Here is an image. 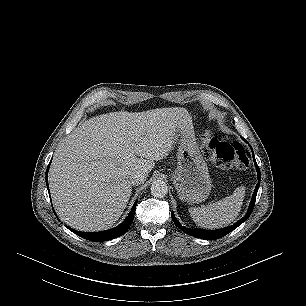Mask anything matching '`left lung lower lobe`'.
Here are the masks:
<instances>
[{
    "label": "left lung lower lobe",
    "instance_id": "1",
    "mask_svg": "<svg viewBox=\"0 0 306 306\" xmlns=\"http://www.w3.org/2000/svg\"><path fill=\"white\" fill-rule=\"evenodd\" d=\"M252 149V148H251ZM253 152V150H252ZM253 159H254V163L256 166V170H257V176H258V184L255 187L250 205H249V209L247 214L238 222H236L234 225L224 228V229H220V230H215V231H206V230H201V229H194V228H185L183 226L180 225V223L178 222V220L176 219L174 213H171V217L172 220L174 222V224L181 229L184 233L191 235L193 237H197V238H201V239H206V240H215L218 238H221L223 236H225L226 234L230 233L231 231H233L234 229H236L238 226H240L244 221H246L248 219V217L251 215L253 208H254V204H255V200H256V195L258 192V188L260 185V169L256 163L255 157H254V153H253Z\"/></svg>",
    "mask_w": 306,
    "mask_h": 306
}]
</instances>
